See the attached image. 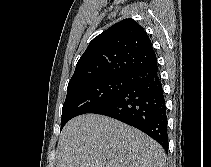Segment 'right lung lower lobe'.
<instances>
[{
	"label": "right lung lower lobe",
	"mask_w": 211,
	"mask_h": 167,
	"mask_svg": "<svg viewBox=\"0 0 211 167\" xmlns=\"http://www.w3.org/2000/svg\"><path fill=\"white\" fill-rule=\"evenodd\" d=\"M127 77L128 87L93 113L131 125L156 140L167 151V116L157 60Z\"/></svg>",
	"instance_id": "1"
}]
</instances>
